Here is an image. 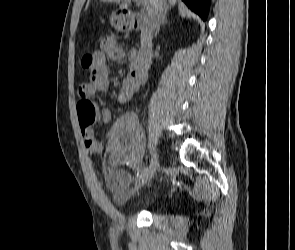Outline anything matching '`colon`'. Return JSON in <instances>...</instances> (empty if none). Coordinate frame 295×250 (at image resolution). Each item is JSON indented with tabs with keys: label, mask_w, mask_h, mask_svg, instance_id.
Here are the masks:
<instances>
[{
	"label": "colon",
	"mask_w": 295,
	"mask_h": 250,
	"mask_svg": "<svg viewBox=\"0 0 295 250\" xmlns=\"http://www.w3.org/2000/svg\"><path fill=\"white\" fill-rule=\"evenodd\" d=\"M81 65L85 70L93 71L96 60L92 53H86L81 58ZM77 113L82 129H89L96 122V107L88 98L81 99L77 103Z\"/></svg>",
	"instance_id": "obj_1"
}]
</instances>
